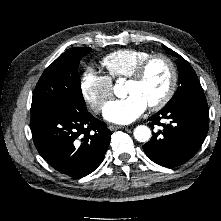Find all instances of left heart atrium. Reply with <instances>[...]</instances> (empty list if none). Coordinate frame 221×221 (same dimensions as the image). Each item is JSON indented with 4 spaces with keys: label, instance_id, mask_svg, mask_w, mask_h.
Segmentation results:
<instances>
[{
    "label": "left heart atrium",
    "instance_id": "obj_1",
    "mask_svg": "<svg viewBox=\"0 0 221 221\" xmlns=\"http://www.w3.org/2000/svg\"><path fill=\"white\" fill-rule=\"evenodd\" d=\"M147 104L136 94L120 100H113L106 104L104 117L117 124H129L140 117L146 110Z\"/></svg>",
    "mask_w": 221,
    "mask_h": 221
}]
</instances>
